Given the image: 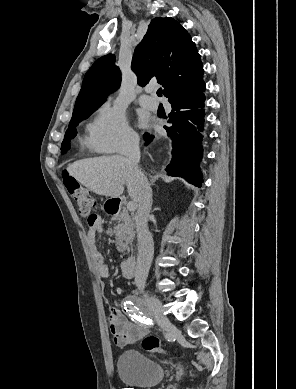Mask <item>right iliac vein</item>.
<instances>
[{
    "instance_id": "63e3f726",
    "label": "right iliac vein",
    "mask_w": 296,
    "mask_h": 389,
    "mask_svg": "<svg viewBox=\"0 0 296 389\" xmlns=\"http://www.w3.org/2000/svg\"><path fill=\"white\" fill-rule=\"evenodd\" d=\"M146 302L149 314L154 317L163 330L167 331L170 328V321L163 314L161 301L153 295H148L146 296Z\"/></svg>"
}]
</instances>
